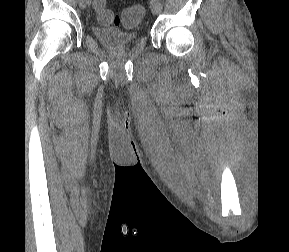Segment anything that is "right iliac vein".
<instances>
[{
  "mask_svg": "<svg viewBox=\"0 0 289 252\" xmlns=\"http://www.w3.org/2000/svg\"><path fill=\"white\" fill-rule=\"evenodd\" d=\"M91 0H79V6L84 9L90 4Z\"/></svg>",
  "mask_w": 289,
  "mask_h": 252,
  "instance_id": "right-iliac-vein-1",
  "label": "right iliac vein"
}]
</instances>
